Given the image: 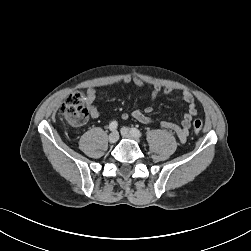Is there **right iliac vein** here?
I'll use <instances>...</instances> for the list:
<instances>
[{
  "mask_svg": "<svg viewBox=\"0 0 251 251\" xmlns=\"http://www.w3.org/2000/svg\"><path fill=\"white\" fill-rule=\"evenodd\" d=\"M118 139H119V135L116 131H113L108 137L109 142L112 144L116 143Z\"/></svg>",
  "mask_w": 251,
  "mask_h": 251,
  "instance_id": "right-iliac-vein-1",
  "label": "right iliac vein"
}]
</instances>
